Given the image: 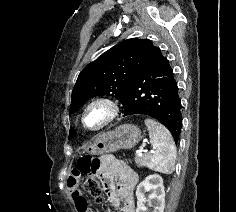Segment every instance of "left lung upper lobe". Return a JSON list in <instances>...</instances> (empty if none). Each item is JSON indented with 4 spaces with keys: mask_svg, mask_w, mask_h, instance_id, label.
Masks as SVG:
<instances>
[{
    "mask_svg": "<svg viewBox=\"0 0 236 212\" xmlns=\"http://www.w3.org/2000/svg\"><path fill=\"white\" fill-rule=\"evenodd\" d=\"M150 40H124L88 64L79 74L72 91L70 114L94 96L124 98L145 56ZM76 132L70 129L69 139Z\"/></svg>",
    "mask_w": 236,
    "mask_h": 212,
    "instance_id": "left-lung-upper-lobe-1",
    "label": "left lung upper lobe"
}]
</instances>
